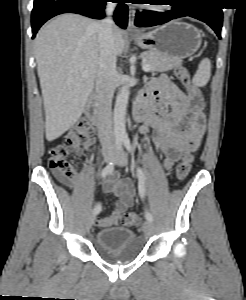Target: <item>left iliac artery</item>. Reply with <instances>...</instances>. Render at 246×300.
I'll use <instances>...</instances> for the list:
<instances>
[{"label":"left iliac artery","instance_id":"44dca946","mask_svg":"<svg viewBox=\"0 0 246 300\" xmlns=\"http://www.w3.org/2000/svg\"><path fill=\"white\" fill-rule=\"evenodd\" d=\"M123 143L126 149L129 152H131L132 146L128 137L123 138ZM137 175H138V192L141 199H143L146 193V177L142 168L140 167L137 168ZM145 218L148 221H153V216L148 210H145Z\"/></svg>","mask_w":246,"mask_h":300}]
</instances>
